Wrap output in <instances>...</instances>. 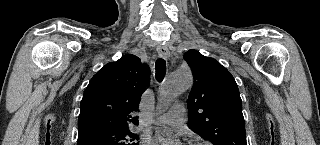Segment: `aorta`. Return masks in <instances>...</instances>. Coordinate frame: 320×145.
<instances>
[{"label":"aorta","mask_w":320,"mask_h":145,"mask_svg":"<svg viewBox=\"0 0 320 145\" xmlns=\"http://www.w3.org/2000/svg\"><path fill=\"white\" fill-rule=\"evenodd\" d=\"M192 76L188 72L176 71L166 79L159 96V108L166 109L177 98L179 94L192 86ZM157 139L162 141L164 136L157 133Z\"/></svg>","instance_id":"obj_1"}]
</instances>
